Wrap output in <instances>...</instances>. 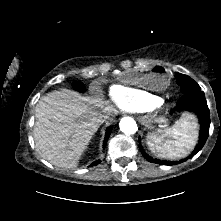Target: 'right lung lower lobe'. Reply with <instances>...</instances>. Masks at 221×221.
Masks as SVG:
<instances>
[{"instance_id": "right-lung-lower-lobe-1", "label": "right lung lower lobe", "mask_w": 221, "mask_h": 221, "mask_svg": "<svg viewBox=\"0 0 221 221\" xmlns=\"http://www.w3.org/2000/svg\"><path fill=\"white\" fill-rule=\"evenodd\" d=\"M111 131H112V127L108 128V130L106 132V135H105L104 142H103V148H105V146H106V143H107V140L109 138V135H110ZM99 163H100V160H97V161L93 162L91 166H95Z\"/></svg>"}]
</instances>
